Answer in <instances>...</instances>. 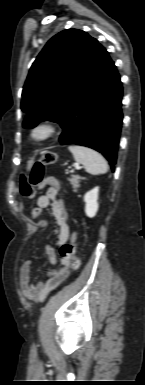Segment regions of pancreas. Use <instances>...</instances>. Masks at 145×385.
I'll return each mask as SVG.
<instances>
[{
	"label": "pancreas",
	"instance_id": "pancreas-1",
	"mask_svg": "<svg viewBox=\"0 0 145 385\" xmlns=\"http://www.w3.org/2000/svg\"><path fill=\"white\" fill-rule=\"evenodd\" d=\"M82 179V177L78 175H72V178L70 179V183L72 185L73 191H77V188L79 187V181Z\"/></svg>",
	"mask_w": 145,
	"mask_h": 385
}]
</instances>
